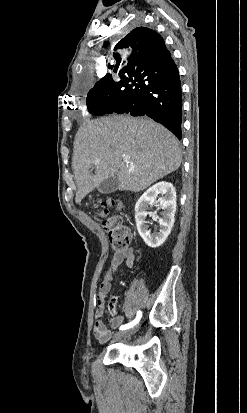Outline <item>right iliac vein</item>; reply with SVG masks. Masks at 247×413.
Listing matches in <instances>:
<instances>
[{
  "label": "right iliac vein",
  "mask_w": 247,
  "mask_h": 413,
  "mask_svg": "<svg viewBox=\"0 0 247 413\" xmlns=\"http://www.w3.org/2000/svg\"><path fill=\"white\" fill-rule=\"evenodd\" d=\"M137 330H138V326L133 327L132 329H129L127 331L118 332V333L115 334V337L117 339H119V338H128V337L132 336L133 334H135L137 332Z\"/></svg>",
  "instance_id": "1"
}]
</instances>
